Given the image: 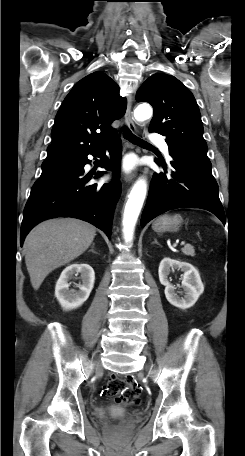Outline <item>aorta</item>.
<instances>
[{
  "label": "aorta",
  "mask_w": 245,
  "mask_h": 456,
  "mask_svg": "<svg viewBox=\"0 0 245 456\" xmlns=\"http://www.w3.org/2000/svg\"><path fill=\"white\" fill-rule=\"evenodd\" d=\"M152 114L153 110L147 103L138 105L134 110V117L138 121H145L151 118ZM146 192L147 181L144 177H140L134 183L124 209L122 232L126 243H130L133 240L136 222L145 200Z\"/></svg>",
  "instance_id": "aorta-1"
}]
</instances>
